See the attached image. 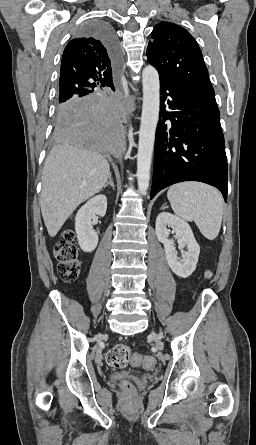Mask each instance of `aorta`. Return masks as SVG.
Wrapping results in <instances>:
<instances>
[{
    "mask_svg": "<svg viewBox=\"0 0 256 445\" xmlns=\"http://www.w3.org/2000/svg\"><path fill=\"white\" fill-rule=\"evenodd\" d=\"M143 105L137 153V184L141 194H146L155 142V131L160 109V81L157 70L148 65L142 72Z\"/></svg>",
    "mask_w": 256,
    "mask_h": 445,
    "instance_id": "1",
    "label": "aorta"
}]
</instances>
